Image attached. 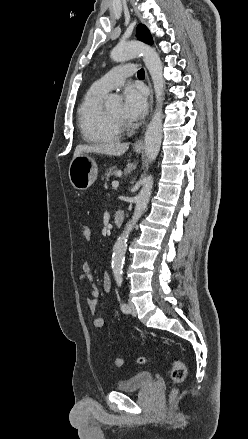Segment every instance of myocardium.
<instances>
[{
    "label": "myocardium",
    "mask_w": 248,
    "mask_h": 439,
    "mask_svg": "<svg viewBox=\"0 0 248 439\" xmlns=\"http://www.w3.org/2000/svg\"><path fill=\"white\" fill-rule=\"evenodd\" d=\"M104 117L108 122V124L118 131H125L129 127L125 120L114 119L111 116H109L106 112H104Z\"/></svg>",
    "instance_id": "myocardium-1"
}]
</instances>
